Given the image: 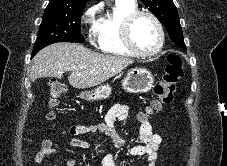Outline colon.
Wrapping results in <instances>:
<instances>
[{
    "instance_id": "5ec220e1",
    "label": "colon",
    "mask_w": 227,
    "mask_h": 166,
    "mask_svg": "<svg viewBox=\"0 0 227 166\" xmlns=\"http://www.w3.org/2000/svg\"><path fill=\"white\" fill-rule=\"evenodd\" d=\"M182 74L183 68L181 58L177 54H170L162 80L156 83L153 88L155 99L151 102L146 114L157 112L161 110L163 105L172 104L174 102L177 92V83L182 77ZM47 87L51 98V106L54 109L58 103V99L65 94L66 87L57 80H50ZM144 117L145 114H142L141 118Z\"/></svg>"
}]
</instances>
